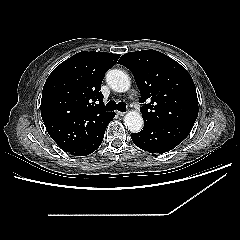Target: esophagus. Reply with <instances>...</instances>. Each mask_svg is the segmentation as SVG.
I'll return each mask as SVG.
<instances>
[{
	"label": "esophagus",
	"mask_w": 240,
	"mask_h": 240,
	"mask_svg": "<svg viewBox=\"0 0 240 240\" xmlns=\"http://www.w3.org/2000/svg\"><path fill=\"white\" fill-rule=\"evenodd\" d=\"M119 116H124L126 113L125 112H121V111H117L116 112Z\"/></svg>",
	"instance_id": "34e87169"
}]
</instances>
